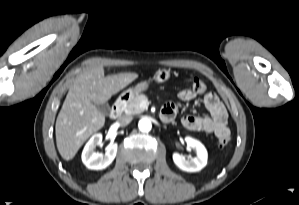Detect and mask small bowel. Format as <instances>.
Here are the masks:
<instances>
[{"label":"small bowel","mask_w":299,"mask_h":205,"mask_svg":"<svg viewBox=\"0 0 299 205\" xmlns=\"http://www.w3.org/2000/svg\"><path fill=\"white\" fill-rule=\"evenodd\" d=\"M195 97L196 94L190 89H184L178 93V98L184 102L191 101ZM203 104L209 115L204 117L185 115L181 120L182 125L187 130L203 131L214 134L218 138L229 135L228 114L219 98L214 93L207 92L203 95ZM177 109L175 103L169 102L163 107L162 113H167L171 120L176 115Z\"/></svg>","instance_id":"1"}]
</instances>
